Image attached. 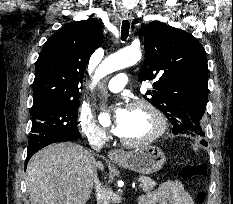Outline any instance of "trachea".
I'll use <instances>...</instances> for the list:
<instances>
[{
  "label": "trachea",
  "mask_w": 233,
  "mask_h": 204,
  "mask_svg": "<svg viewBox=\"0 0 233 204\" xmlns=\"http://www.w3.org/2000/svg\"><path fill=\"white\" fill-rule=\"evenodd\" d=\"M130 23L128 20H123L121 29V38L125 41L129 35Z\"/></svg>",
  "instance_id": "obj_1"
}]
</instances>
